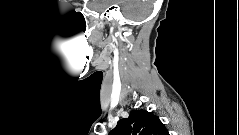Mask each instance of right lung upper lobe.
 <instances>
[{"label": "right lung upper lobe", "instance_id": "1", "mask_svg": "<svg viewBox=\"0 0 239 135\" xmlns=\"http://www.w3.org/2000/svg\"><path fill=\"white\" fill-rule=\"evenodd\" d=\"M157 116L146 110H132L128 118L120 119L109 135H167Z\"/></svg>", "mask_w": 239, "mask_h": 135}]
</instances>
